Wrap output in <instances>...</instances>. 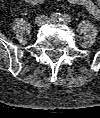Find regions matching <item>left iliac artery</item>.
Instances as JSON below:
<instances>
[{
	"label": "left iliac artery",
	"instance_id": "obj_1",
	"mask_svg": "<svg viewBox=\"0 0 100 118\" xmlns=\"http://www.w3.org/2000/svg\"><path fill=\"white\" fill-rule=\"evenodd\" d=\"M61 21L65 24H68L71 22V17L67 14L62 15Z\"/></svg>",
	"mask_w": 100,
	"mask_h": 118
}]
</instances>
